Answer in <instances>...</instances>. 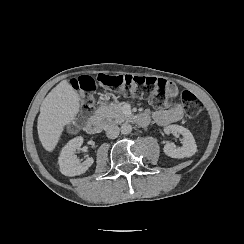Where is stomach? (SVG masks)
Instances as JSON below:
<instances>
[{"label": "stomach", "instance_id": "stomach-1", "mask_svg": "<svg viewBox=\"0 0 244 244\" xmlns=\"http://www.w3.org/2000/svg\"><path fill=\"white\" fill-rule=\"evenodd\" d=\"M108 96H110V93H106V94H105V97H108Z\"/></svg>", "mask_w": 244, "mask_h": 244}]
</instances>
